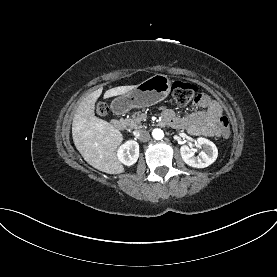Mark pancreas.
<instances>
[{
	"label": "pancreas",
	"mask_w": 277,
	"mask_h": 277,
	"mask_svg": "<svg viewBox=\"0 0 277 277\" xmlns=\"http://www.w3.org/2000/svg\"><path fill=\"white\" fill-rule=\"evenodd\" d=\"M142 120L143 119L140 114L138 112H135L131 115V117L126 119V123L131 129H140L143 128V125L141 123Z\"/></svg>",
	"instance_id": "obj_1"
}]
</instances>
